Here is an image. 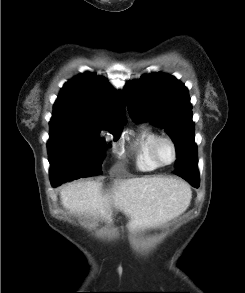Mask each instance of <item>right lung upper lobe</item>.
<instances>
[{
    "instance_id": "right-lung-upper-lobe-1",
    "label": "right lung upper lobe",
    "mask_w": 245,
    "mask_h": 293,
    "mask_svg": "<svg viewBox=\"0 0 245 293\" xmlns=\"http://www.w3.org/2000/svg\"><path fill=\"white\" fill-rule=\"evenodd\" d=\"M124 107L121 91H115L105 78L86 72L63 86L51 122L115 129L126 124Z\"/></svg>"
}]
</instances>
